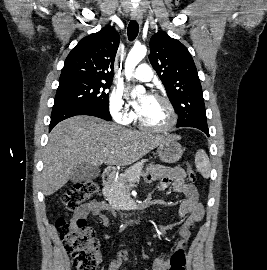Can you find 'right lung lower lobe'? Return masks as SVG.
Segmentation results:
<instances>
[{
  "label": "right lung lower lobe",
  "mask_w": 267,
  "mask_h": 270,
  "mask_svg": "<svg viewBox=\"0 0 267 270\" xmlns=\"http://www.w3.org/2000/svg\"><path fill=\"white\" fill-rule=\"evenodd\" d=\"M76 115H90L110 121L111 115L108 108L102 107H76L70 105H54L51 114V122L49 131L60 121L76 116Z\"/></svg>",
  "instance_id": "right-lung-lower-lobe-1"
}]
</instances>
